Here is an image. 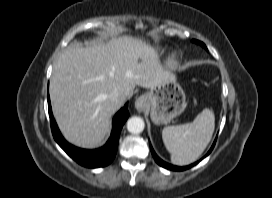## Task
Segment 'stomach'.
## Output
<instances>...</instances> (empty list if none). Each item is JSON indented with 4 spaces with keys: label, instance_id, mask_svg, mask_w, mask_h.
<instances>
[{
    "label": "stomach",
    "instance_id": "obj_1",
    "mask_svg": "<svg viewBox=\"0 0 272 198\" xmlns=\"http://www.w3.org/2000/svg\"><path fill=\"white\" fill-rule=\"evenodd\" d=\"M150 117L154 124H167L186 108L185 93L174 74H169L145 94Z\"/></svg>",
    "mask_w": 272,
    "mask_h": 198
}]
</instances>
